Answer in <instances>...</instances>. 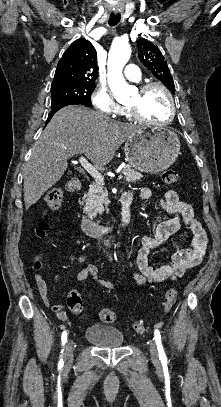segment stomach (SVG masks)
Instances as JSON below:
<instances>
[{"label":"stomach","mask_w":221,"mask_h":407,"mask_svg":"<svg viewBox=\"0 0 221 407\" xmlns=\"http://www.w3.org/2000/svg\"><path fill=\"white\" fill-rule=\"evenodd\" d=\"M179 150L177 134L165 128L140 127L129 136L124 146L128 164L151 174L169 168L175 162Z\"/></svg>","instance_id":"1"}]
</instances>
